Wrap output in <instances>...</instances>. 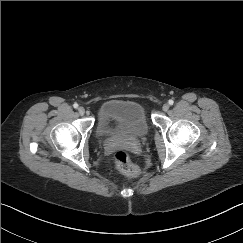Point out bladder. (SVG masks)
I'll return each instance as SVG.
<instances>
[{"instance_id": "1", "label": "bladder", "mask_w": 243, "mask_h": 243, "mask_svg": "<svg viewBox=\"0 0 243 243\" xmlns=\"http://www.w3.org/2000/svg\"><path fill=\"white\" fill-rule=\"evenodd\" d=\"M148 131L144 108L137 102L122 99H108L95 125V133L101 139L142 140Z\"/></svg>"}]
</instances>
